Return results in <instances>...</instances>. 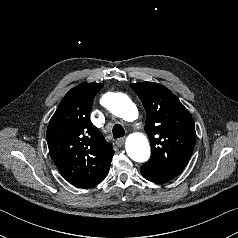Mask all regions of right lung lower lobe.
Masks as SVG:
<instances>
[{"mask_svg":"<svg viewBox=\"0 0 238 238\" xmlns=\"http://www.w3.org/2000/svg\"><path fill=\"white\" fill-rule=\"evenodd\" d=\"M107 173H108V172H107ZM107 173L104 174L102 177H100L98 180L92 182L91 184H89V185H87V186H85V187H83V188L91 187V186H93V185L98 184L99 182H101V181L106 177Z\"/></svg>","mask_w":238,"mask_h":238,"instance_id":"98d812e1","label":"right lung lower lobe"}]
</instances>
